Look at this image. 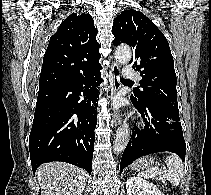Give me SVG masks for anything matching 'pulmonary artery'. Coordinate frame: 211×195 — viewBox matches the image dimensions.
Instances as JSON below:
<instances>
[{"label":"pulmonary artery","instance_id":"pulmonary-artery-1","mask_svg":"<svg viewBox=\"0 0 211 195\" xmlns=\"http://www.w3.org/2000/svg\"><path fill=\"white\" fill-rule=\"evenodd\" d=\"M124 75L127 78H131V79H138V73L136 72V70L130 66V65H126L124 68Z\"/></svg>","mask_w":211,"mask_h":195}]
</instances>
